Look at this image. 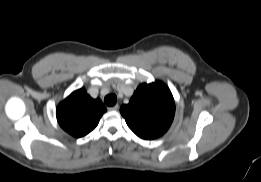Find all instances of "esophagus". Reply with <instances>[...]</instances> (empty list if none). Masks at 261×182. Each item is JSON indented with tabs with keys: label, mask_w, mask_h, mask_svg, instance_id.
<instances>
[{
	"label": "esophagus",
	"mask_w": 261,
	"mask_h": 182,
	"mask_svg": "<svg viewBox=\"0 0 261 182\" xmlns=\"http://www.w3.org/2000/svg\"><path fill=\"white\" fill-rule=\"evenodd\" d=\"M118 108H119V105L116 104V105H114L113 107H110L109 110H111V111H116V110H118Z\"/></svg>",
	"instance_id": "esophagus-1"
}]
</instances>
